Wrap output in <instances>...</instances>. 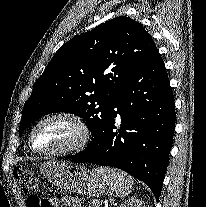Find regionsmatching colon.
<instances>
[{"instance_id":"colon-1","label":"colon","mask_w":206,"mask_h":207,"mask_svg":"<svg viewBox=\"0 0 206 207\" xmlns=\"http://www.w3.org/2000/svg\"><path fill=\"white\" fill-rule=\"evenodd\" d=\"M14 175L22 191L28 195V207H52L48 199L41 198L36 194L38 180L29 170L23 167H17L14 170Z\"/></svg>"}]
</instances>
